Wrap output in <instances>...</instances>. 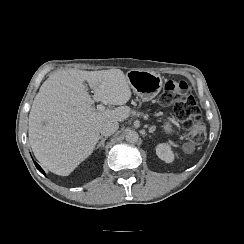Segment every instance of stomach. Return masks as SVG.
Listing matches in <instances>:
<instances>
[{"mask_svg":"<svg viewBox=\"0 0 244 244\" xmlns=\"http://www.w3.org/2000/svg\"><path fill=\"white\" fill-rule=\"evenodd\" d=\"M126 77L134 93L143 102L153 100L163 87V76L155 72L134 69L130 70ZM160 127L162 132L167 136L175 133L174 123L169 118L163 119Z\"/></svg>","mask_w":244,"mask_h":244,"instance_id":"obj_1","label":"stomach"}]
</instances>
